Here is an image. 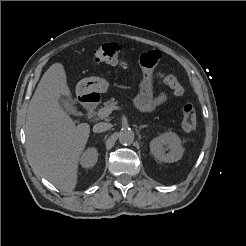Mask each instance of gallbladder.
Listing matches in <instances>:
<instances>
[{"label":"gallbladder","instance_id":"obj_1","mask_svg":"<svg viewBox=\"0 0 246 246\" xmlns=\"http://www.w3.org/2000/svg\"><path fill=\"white\" fill-rule=\"evenodd\" d=\"M59 105L69 114L77 115L78 111L76 110L73 103L65 96L59 98Z\"/></svg>","mask_w":246,"mask_h":246}]
</instances>
